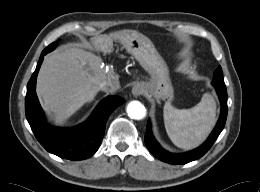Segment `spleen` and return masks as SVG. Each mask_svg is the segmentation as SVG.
<instances>
[{
    "label": "spleen",
    "instance_id": "spleen-1",
    "mask_svg": "<svg viewBox=\"0 0 260 192\" xmlns=\"http://www.w3.org/2000/svg\"><path fill=\"white\" fill-rule=\"evenodd\" d=\"M163 117L170 140L179 148L191 149L201 144L213 129L216 103L208 93L190 109H177L167 102Z\"/></svg>",
    "mask_w": 260,
    "mask_h": 192
}]
</instances>
